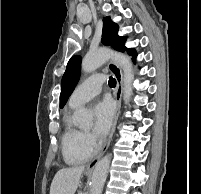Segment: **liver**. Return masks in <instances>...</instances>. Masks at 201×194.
Listing matches in <instances>:
<instances>
[{
    "label": "liver",
    "mask_w": 201,
    "mask_h": 194,
    "mask_svg": "<svg viewBox=\"0 0 201 194\" xmlns=\"http://www.w3.org/2000/svg\"><path fill=\"white\" fill-rule=\"evenodd\" d=\"M85 166L60 169L54 176L50 194H74Z\"/></svg>",
    "instance_id": "6515ba94"
}]
</instances>
